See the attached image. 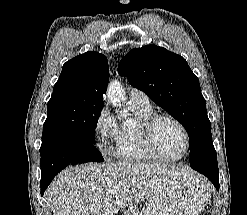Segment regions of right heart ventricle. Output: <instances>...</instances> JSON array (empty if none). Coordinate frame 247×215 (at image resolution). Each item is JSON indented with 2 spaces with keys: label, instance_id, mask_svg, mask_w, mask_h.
Instances as JSON below:
<instances>
[{
  "label": "right heart ventricle",
  "instance_id": "e07e8e85",
  "mask_svg": "<svg viewBox=\"0 0 247 215\" xmlns=\"http://www.w3.org/2000/svg\"><path fill=\"white\" fill-rule=\"evenodd\" d=\"M130 109L139 124L134 128L122 127L119 131L117 146L114 151L117 158L125 162H148L154 160L143 143L140 134V124L154 115L152 107H139L130 104Z\"/></svg>",
  "mask_w": 247,
  "mask_h": 215
}]
</instances>
